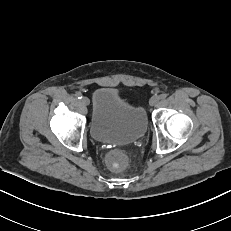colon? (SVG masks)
Listing matches in <instances>:
<instances>
[{"mask_svg": "<svg viewBox=\"0 0 231 231\" xmlns=\"http://www.w3.org/2000/svg\"><path fill=\"white\" fill-rule=\"evenodd\" d=\"M106 162L111 169L122 170L127 166V154L121 148L113 149L108 153Z\"/></svg>", "mask_w": 231, "mask_h": 231, "instance_id": "obj_1", "label": "colon"}]
</instances>
